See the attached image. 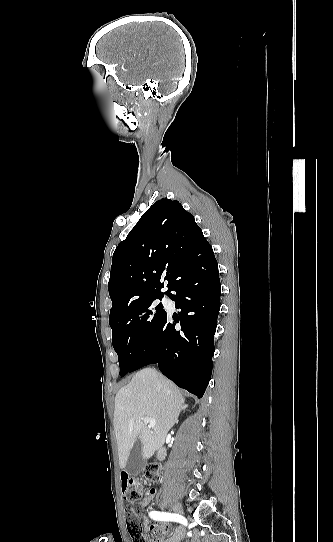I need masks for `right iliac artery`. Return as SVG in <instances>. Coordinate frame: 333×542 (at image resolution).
Masks as SVG:
<instances>
[{
  "label": "right iliac artery",
  "mask_w": 333,
  "mask_h": 542,
  "mask_svg": "<svg viewBox=\"0 0 333 542\" xmlns=\"http://www.w3.org/2000/svg\"><path fill=\"white\" fill-rule=\"evenodd\" d=\"M149 516L154 520H160V521H176L180 522L182 524H187L186 519L178 514H171L166 512H159V511H151L149 513Z\"/></svg>",
  "instance_id": "1"
}]
</instances>
